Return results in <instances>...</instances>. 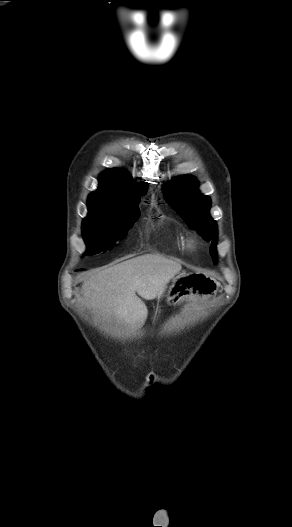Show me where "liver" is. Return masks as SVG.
<instances>
[{"mask_svg": "<svg viewBox=\"0 0 292 527\" xmlns=\"http://www.w3.org/2000/svg\"><path fill=\"white\" fill-rule=\"evenodd\" d=\"M181 269L179 262L158 254L137 256L85 280L82 285L83 299L87 307L103 316H113L134 328H140L148 315L141 298L152 300L162 297L167 283Z\"/></svg>", "mask_w": 292, "mask_h": 527, "instance_id": "1", "label": "liver"}]
</instances>
